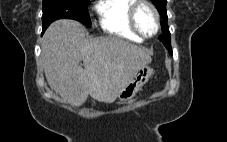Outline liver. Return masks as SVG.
I'll use <instances>...</instances> for the list:
<instances>
[{"instance_id":"liver-1","label":"liver","mask_w":227,"mask_h":142,"mask_svg":"<svg viewBox=\"0 0 227 142\" xmlns=\"http://www.w3.org/2000/svg\"><path fill=\"white\" fill-rule=\"evenodd\" d=\"M87 35L82 24L69 19L57 20L47 28L41 45L47 82L73 106H81L88 96L112 103L152 59L144 49L121 38Z\"/></svg>"}]
</instances>
